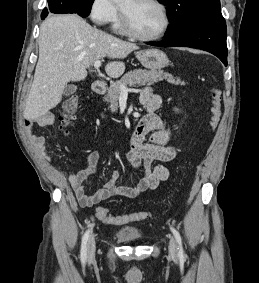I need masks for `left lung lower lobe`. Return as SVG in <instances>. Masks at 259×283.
<instances>
[{
  "label": "left lung lower lobe",
  "mask_w": 259,
  "mask_h": 283,
  "mask_svg": "<svg viewBox=\"0 0 259 283\" xmlns=\"http://www.w3.org/2000/svg\"><path fill=\"white\" fill-rule=\"evenodd\" d=\"M159 47H191L208 51L227 65L226 23L222 14L212 16L183 32L167 35L163 41L148 43Z\"/></svg>",
  "instance_id": "1"
}]
</instances>
